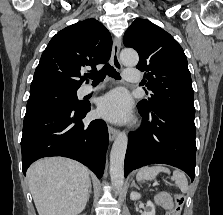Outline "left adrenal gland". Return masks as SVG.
<instances>
[{
    "label": "left adrenal gland",
    "instance_id": "1",
    "mask_svg": "<svg viewBox=\"0 0 223 215\" xmlns=\"http://www.w3.org/2000/svg\"><path fill=\"white\" fill-rule=\"evenodd\" d=\"M133 185H134V187H137V185H136L134 179H133V181H132V183H131V187H133Z\"/></svg>",
    "mask_w": 223,
    "mask_h": 215
}]
</instances>
